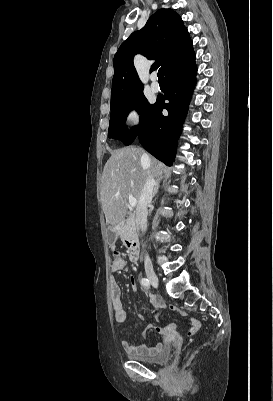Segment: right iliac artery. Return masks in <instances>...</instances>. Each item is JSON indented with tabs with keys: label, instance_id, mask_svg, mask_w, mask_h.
<instances>
[{
	"label": "right iliac artery",
	"instance_id": "1",
	"mask_svg": "<svg viewBox=\"0 0 273 401\" xmlns=\"http://www.w3.org/2000/svg\"><path fill=\"white\" fill-rule=\"evenodd\" d=\"M141 284H142V286H144L146 288L150 287V282H149V280L147 278H142Z\"/></svg>",
	"mask_w": 273,
	"mask_h": 401
}]
</instances>
